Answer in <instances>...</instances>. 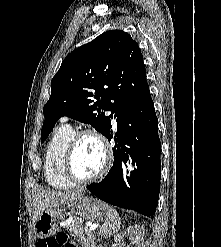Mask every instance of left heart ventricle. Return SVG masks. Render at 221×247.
Wrapping results in <instances>:
<instances>
[{
  "mask_svg": "<svg viewBox=\"0 0 221 247\" xmlns=\"http://www.w3.org/2000/svg\"><path fill=\"white\" fill-rule=\"evenodd\" d=\"M104 163V154L99 142L92 137H83L76 148L73 167L76 175L87 178L97 174Z\"/></svg>",
  "mask_w": 221,
  "mask_h": 247,
  "instance_id": "1",
  "label": "left heart ventricle"
}]
</instances>
